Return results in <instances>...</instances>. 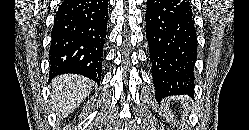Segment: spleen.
Listing matches in <instances>:
<instances>
[{
  "instance_id": "3e777b00",
  "label": "spleen",
  "mask_w": 249,
  "mask_h": 130,
  "mask_svg": "<svg viewBox=\"0 0 249 130\" xmlns=\"http://www.w3.org/2000/svg\"><path fill=\"white\" fill-rule=\"evenodd\" d=\"M185 101L188 100V98H183Z\"/></svg>"
}]
</instances>
